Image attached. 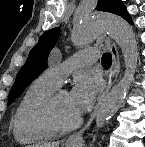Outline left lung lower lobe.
Listing matches in <instances>:
<instances>
[{"label":"left lung lower lobe","mask_w":145,"mask_h":147,"mask_svg":"<svg viewBox=\"0 0 145 147\" xmlns=\"http://www.w3.org/2000/svg\"><path fill=\"white\" fill-rule=\"evenodd\" d=\"M123 18H125L128 22L132 23L130 16L127 14V12L124 14Z\"/></svg>","instance_id":"left-lung-lower-lobe-1"}]
</instances>
